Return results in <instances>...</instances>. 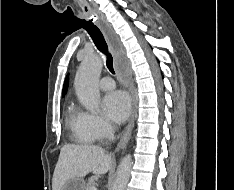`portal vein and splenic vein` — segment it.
Returning <instances> with one entry per match:
<instances>
[{"label":"portal vein and splenic vein","instance_id":"obj_1","mask_svg":"<svg viewBox=\"0 0 234 190\" xmlns=\"http://www.w3.org/2000/svg\"><path fill=\"white\" fill-rule=\"evenodd\" d=\"M91 190H97V188L94 186V187L91 188Z\"/></svg>","mask_w":234,"mask_h":190}]
</instances>
